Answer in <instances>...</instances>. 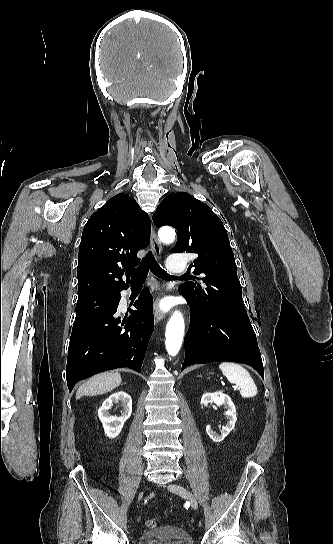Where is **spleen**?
Wrapping results in <instances>:
<instances>
[{
    "label": "spleen",
    "mask_w": 333,
    "mask_h": 544,
    "mask_svg": "<svg viewBox=\"0 0 333 544\" xmlns=\"http://www.w3.org/2000/svg\"><path fill=\"white\" fill-rule=\"evenodd\" d=\"M219 369L230 383L240 387V394L243 398L256 396L257 387L249 372L241 365L233 362H223L219 365Z\"/></svg>",
    "instance_id": "obj_1"
}]
</instances>
